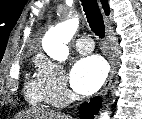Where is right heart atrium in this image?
<instances>
[{"label": "right heart atrium", "instance_id": "right-heart-atrium-1", "mask_svg": "<svg viewBox=\"0 0 142 119\" xmlns=\"http://www.w3.org/2000/svg\"><path fill=\"white\" fill-rule=\"evenodd\" d=\"M38 77L46 89L48 103L62 106L69 100L70 91L65 72L59 64L42 57L38 62Z\"/></svg>", "mask_w": 142, "mask_h": 119}]
</instances>
